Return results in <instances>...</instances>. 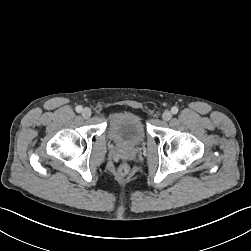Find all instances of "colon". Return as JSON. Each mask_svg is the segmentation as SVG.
<instances>
[{
	"label": "colon",
	"instance_id": "1",
	"mask_svg": "<svg viewBox=\"0 0 251 251\" xmlns=\"http://www.w3.org/2000/svg\"><path fill=\"white\" fill-rule=\"evenodd\" d=\"M129 171L128 165L126 164H121L118 168V173L121 176H125Z\"/></svg>",
	"mask_w": 251,
	"mask_h": 251
}]
</instances>
